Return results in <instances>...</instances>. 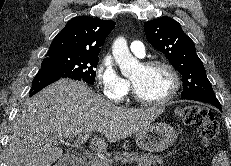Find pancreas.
Returning <instances> with one entry per match:
<instances>
[{
  "label": "pancreas",
  "mask_w": 231,
  "mask_h": 166,
  "mask_svg": "<svg viewBox=\"0 0 231 166\" xmlns=\"http://www.w3.org/2000/svg\"><path fill=\"white\" fill-rule=\"evenodd\" d=\"M96 161H89L86 166H112V163L121 161H128L129 163L135 162L136 166H155L159 164L160 166H164L163 158L157 155L151 154H140L139 152H116L113 155V158H108L106 160L97 159Z\"/></svg>",
  "instance_id": "cf45deb5"
}]
</instances>
